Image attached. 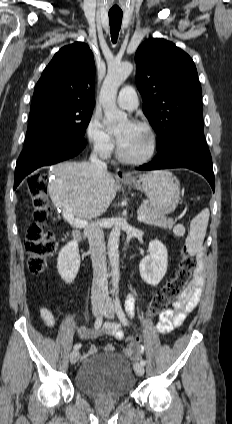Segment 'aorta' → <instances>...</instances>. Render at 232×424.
<instances>
[{"label":"aorta","mask_w":232,"mask_h":424,"mask_svg":"<svg viewBox=\"0 0 232 424\" xmlns=\"http://www.w3.org/2000/svg\"><path fill=\"white\" fill-rule=\"evenodd\" d=\"M133 71L130 62H124L109 66L107 75L100 91V102L104 111V125L109 128H116L127 121V115L119 110L116 105V97L119 86L127 79ZM119 239L120 226L115 225L111 230L108 239V258L112 269V284L114 290L118 289L119 270Z\"/></svg>","instance_id":"aorta-1"}]
</instances>
